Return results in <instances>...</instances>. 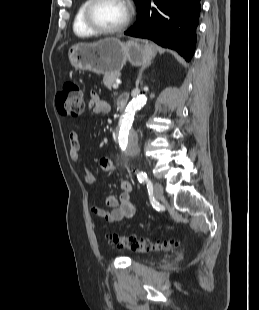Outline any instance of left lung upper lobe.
Masks as SVG:
<instances>
[{"instance_id":"5c2ea615","label":"left lung upper lobe","mask_w":259,"mask_h":310,"mask_svg":"<svg viewBox=\"0 0 259 310\" xmlns=\"http://www.w3.org/2000/svg\"><path fill=\"white\" fill-rule=\"evenodd\" d=\"M134 1H135V3H136L137 7H139L140 4H141V2H142L143 0H134Z\"/></svg>"}]
</instances>
